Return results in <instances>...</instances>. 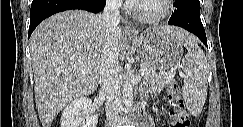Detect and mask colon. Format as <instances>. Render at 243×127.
<instances>
[{
	"mask_svg": "<svg viewBox=\"0 0 243 127\" xmlns=\"http://www.w3.org/2000/svg\"><path fill=\"white\" fill-rule=\"evenodd\" d=\"M168 99L171 106L168 125L172 127L190 126L189 115L185 109L178 84L174 83L170 86L168 91Z\"/></svg>",
	"mask_w": 243,
	"mask_h": 127,
	"instance_id": "colon-1",
	"label": "colon"
}]
</instances>
